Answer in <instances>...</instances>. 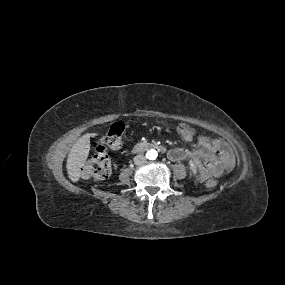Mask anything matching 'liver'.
I'll list each match as a JSON object with an SVG mask.
<instances>
[{
    "mask_svg": "<svg viewBox=\"0 0 285 285\" xmlns=\"http://www.w3.org/2000/svg\"><path fill=\"white\" fill-rule=\"evenodd\" d=\"M95 134L86 133L72 146L67 158V173L72 182H78L81 168L84 166L90 151V137Z\"/></svg>",
    "mask_w": 285,
    "mask_h": 285,
    "instance_id": "1",
    "label": "liver"
}]
</instances>
